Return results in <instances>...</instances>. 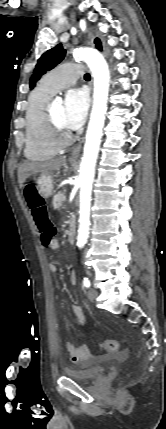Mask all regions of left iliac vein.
<instances>
[{
    "mask_svg": "<svg viewBox=\"0 0 166 429\" xmlns=\"http://www.w3.org/2000/svg\"><path fill=\"white\" fill-rule=\"evenodd\" d=\"M87 296L91 301H94L98 296V292L93 288H89L87 291Z\"/></svg>",
    "mask_w": 166,
    "mask_h": 429,
    "instance_id": "left-iliac-vein-1",
    "label": "left iliac vein"
}]
</instances>
